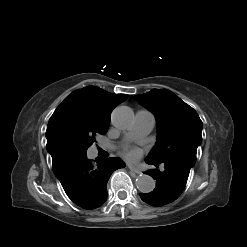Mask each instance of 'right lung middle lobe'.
Wrapping results in <instances>:
<instances>
[{"instance_id":"1","label":"right lung middle lobe","mask_w":247,"mask_h":247,"mask_svg":"<svg viewBox=\"0 0 247 247\" xmlns=\"http://www.w3.org/2000/svg\"><path fill=\"white\" fill-rule=\"evenodd\" d=\"M107 129H80L77 127L68 128L63 136V145L71 157H85L89 146L95 141L96 134H105Z\"/></svg>"}]
</instances>
